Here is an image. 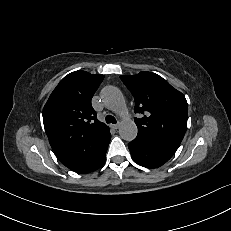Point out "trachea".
Returning a JSON list of instances; mask_svg holds the SVG:
<instances>
[{
  "label": "trachea",
  "mask_w": 231,
  "mask_h": 231,
  "mask_svg": "<svg viewBox=\"0 0 231 231\" xmlns=\"http://www.w3.org/2000/svg\"><path fill=\"white\" fill-rule=\"evenodd\" d=\"M106 123H113V124H116L117 121L115 119V117L111 116V115H107L106 116Z\"/></svg>",
  "instance_id": "1"
}]
</instances>
